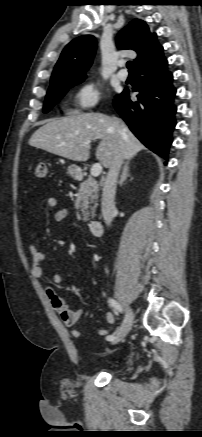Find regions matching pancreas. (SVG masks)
<instances>
[{"mask_svg": "<svg viewBox=\"0 0 202 437\" xmlns=\"http://www.w3.org/2000/svg\"><path fill=\"white\" fill-rule=\"evenodd\" d=\"M98 192L99 185L93 178H88L80 184L74 202L78 220H83L84 222L89 220V208H91L92 215H94L97 206Z\"/></svg>", "mask_w": 202, "mask_h": 437, "instance_id": "obj_1", "label": "pancreas"}]
</instances>
